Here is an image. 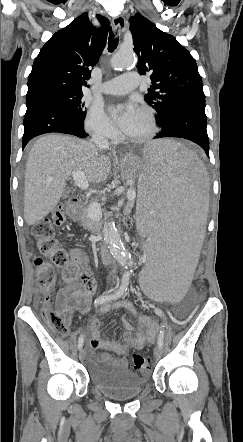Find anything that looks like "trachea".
Instances as JSON below:
<instances>
[{"mask_svg":"<svg viewBox=\"0 0 243 442\" xmlns=\"http://www.w3.org/2000/svg\"><path fill=\"white\" fill-rule=\"evenodd\" d=\"M118 42H119V37H117V34H114L111 30L108 38L109 52H113L116 49Z\"/></svg>","mask_w":243,"mask_h":442,"instance_id":"obj_1","label":"trachea"}]
</instances>
